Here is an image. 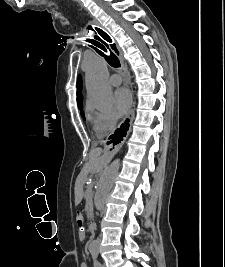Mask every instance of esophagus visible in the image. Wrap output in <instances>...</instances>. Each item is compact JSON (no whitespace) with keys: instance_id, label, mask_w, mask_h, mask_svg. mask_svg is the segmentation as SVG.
<instances>
[{"instance_id":"esophagus-1","label":"esophagus","mask_w":225,"mask_h":267,"mask_svg":"<svg viewBox=\"0 0 225 267\" xmlns=\"http://www.w3.org/2000/svg\"><path fill=\"white\" fill-rule=\"evenodd\" d=\"M99 29L103 30L111 38V36L109 35V33L106 30H104L103 28H100V27H99ZM99 36H100V34H99ZM110 46L115 51L116 55L120 59V62H121V65H122V69H123V72H124L125 85L131 88V107H130V110H129L128 115H127V119L129 120V124H130V127H131V124H132V121H133V118H134V110H133L134 101H133V97H132L133 89H132V85H131V82H130L129 73H128V70H127L126 63L124 62V59H123L121 53L119 52V49H118L117 45L115 44L114 40H112V39H111V42H110ZM130 127L127 130V134L130 131ZM119 148H120V145H117L114 148H112V146H105L106 153H108L111 156L114 155L118 151Z\"/></svg>"}]
</instances>
